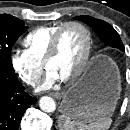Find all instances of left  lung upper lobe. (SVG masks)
<instances>
[{"label":"left lung upper lobe","instance_id":"5c2ea615","mask_svg":"<svg viewBox=\"0 0 130 130\" xmlns=\"http://www.w3.org/2000/svg\"><path fill=\"white\" fill-rule=\"evenodd\" d=\"M76 19L91 26L105 44L121 51H125L119 34L107 22L87 15L76 16Z\"/></svg>","mask_w":130,"mask_h":130}]
</instances>
